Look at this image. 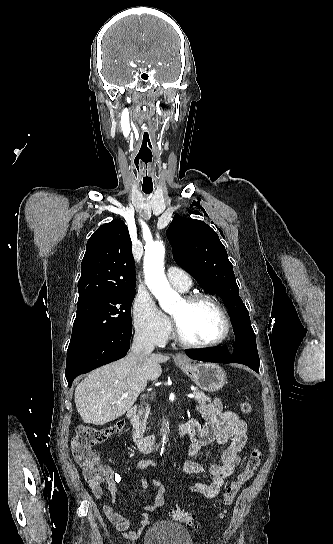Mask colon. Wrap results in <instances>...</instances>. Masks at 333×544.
<instances>
[{
	"mask_svg": "<svg viewBox=\"0 0 333 544\" xmlns=\"http://www.w3.org/2000/svg\"><path fill=\"white\" fill-rule=\"evenodd\" d=\"M240 410L244 414H251L253 407L249 402H242ZM124 428V422L118 420L105 427L80 426L72 439V453L77 464L83 468L85 480L91 487L102 485L105 478V467L100 464L98 455L93 447L108 437L120 433ZM263 454L260 448L254 447L245 460L242 470L227 487L223 504L225 507L232 505L240 489L253 477L262 462ZM170 518L190 527H197L194 516L190 513L175 508L170 512Z\"/></svg>",
	"mask_w": 333,
	"mask_h": 544,
	"instance_id": "obj_1",
	"label": "colon"
}]
</instances>
